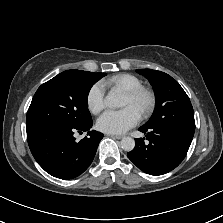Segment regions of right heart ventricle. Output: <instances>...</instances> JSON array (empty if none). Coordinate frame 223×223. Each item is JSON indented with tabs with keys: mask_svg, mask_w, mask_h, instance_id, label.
<instances>
[{
	"mask_svg": "<svg viewBox=\"0 0 223 223\" xmlns=\"http://www.w3.org/2000/svg\"><path fill=\"white\" fill-rule=\"evenodd\" d=\"M105 86L120 87L125 93L134 91L143 87L142 81L131 74H120L107 79L104 82Z\"/></svg>",
	"mask_w": 223,
	"mask_h": 223,
	"instance_id": "obj_1",
	"label": "right heart ventricle"
}]
</instances>
